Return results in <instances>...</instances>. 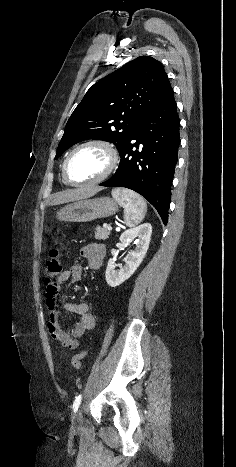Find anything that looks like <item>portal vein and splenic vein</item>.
Listing matches in <instances>:
<instances>
[{
  "instance_id": "18ae733b",
  "label": "portal vein and splenic vein",
  "mask_w": 236,
  "mask_h": 467,
  "mask_svg": "<svg viewBox=\"0 0 236 467\" xmlns=\"http://www.w3.org/2000/svg\"><path fill=\"white\" fill-rule=\"evenodd\" d=\"M108 231H111L112 230V227L111 226H107L106 227Z\"/></svg>"
}]
</instances>
